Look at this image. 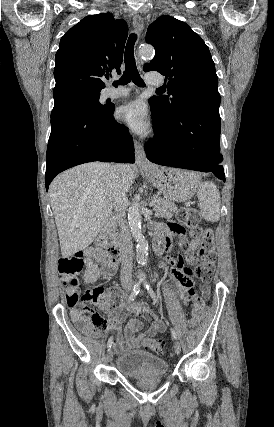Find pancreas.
Returning <instances> with one entry per match:
<instances>
[{"mask_svg": "<svg viewBox=\"0 0 274 427\" xmlns=\"http://www.w3.org/2000/svg\"><path fill=\"white\" fill-rule=\"evenodd\" d=\"M177 206L171 200H164V198H156L154 212L157 217H172L173 212H176ZM115 227V225H114ZM115 239L118 237L117 229H114Z\"/></svg>", "mask_w": 274, "mask_h": 427, "instance_id": "pancreas-1", "label": "pancreas"}]
</instances>
